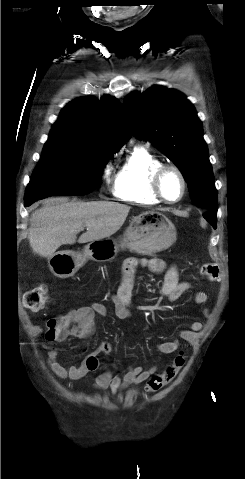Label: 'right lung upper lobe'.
Instances as JSON below:
<instances>
[{
  "mask_svg": "<svg viewBox=\"0 0 245 479\" xmlns=\"http://www.w3.org/2000/svg\"><path fill=\"white\" fill-rule=\"evenodd\" d=\"M50 136L78 140L94 148L119 150L131 133L118 101L105 96L100 103L87 98L70 102L52 126Z\"/></svg>",
  "mask_w": 245,
  "mask_h": 479,
  "instance_id": "1",
  "label": "right lung upper lobe"
}]
</instances>
